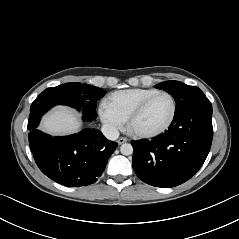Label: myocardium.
Here are the masks:
<instances>
[{
  "label": "myocardium",
  "mask_w": 239,
  "mask_h": 239,
  "mask_svg": "<svg viewBox=\"0 0 239 239\" xmlns=\"http://www.w3.org/2000/svg\"><path fill=\"white\" fill-rule=\"evenodd\" d=\"M159 95H166L170 98L171 102H172V113L171 116L169 118V120L167 121V123L162 126L161 128L155 130V131H151V132H137L135 130H133L132 128V124L134 122V120L143 112V110L145 109V107L150 103V101H152L155 97L159 96ZM177 102L175 97L164 90H158L156 92H154L153 94L147 96L145 99H143L129 114L128 118H127V128L128 131L138 137V138H154L157 136L162 135L163 133H165L174 123L176 115H177Z\"/></svg>",
  "instance_id": "myocardium-1"
}]
</instances>
